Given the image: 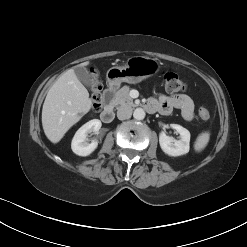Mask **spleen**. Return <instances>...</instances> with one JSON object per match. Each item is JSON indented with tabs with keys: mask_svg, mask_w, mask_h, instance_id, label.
<instances>
[{
	"mask_svg": "<svg viewBox=\"0 0 247 247\" xmlns=\"http://www.w3.org/2000/svg\"><path fill=\"white\" fill-rule=\"evenodd\" d=\"M210 140V133L205 131L202 132L201 134L198 135L195 144H194V149L196 152H201L202 150L205 149L207 146L208 142Z\"/></svg>",
	"mask_w": 247,
	"mask_h": 247,
	"instance_id": "1",
	"label": "spleen"
}]
</instances>
